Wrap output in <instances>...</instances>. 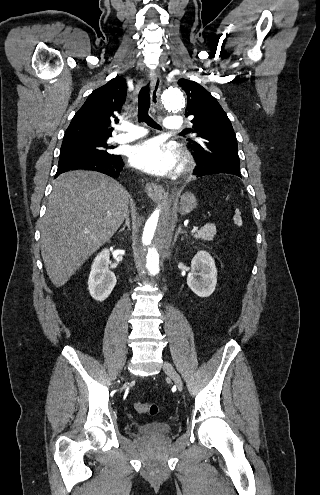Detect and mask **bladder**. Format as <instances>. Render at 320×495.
<instances>
[{
	"label": "bladder",
	"mask_w": 320,
	"mask_h": 495,
	"mask_svg": "<svg viewBox=\"0 0 320 495\" xmlns=\"http://www.w3.org/2000/svg\"><path fill=\"white\" fill-rule=\"evenodd\" d=\"M140 434L146 436H163L172 431L171 424L162 421L148 422L137 427Z\"/></svg>",
	"instance_id": "1"
}]
</instances>
